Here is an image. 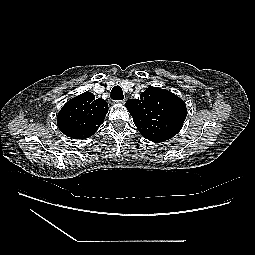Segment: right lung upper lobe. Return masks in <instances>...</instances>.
Returning a JSON list of instances; mask_svg holds the SVG:
<instances>
[{
  "instance_id": "right-lung-upper-lobe-1",
  "label": "right lung upper lobe",
  "mask_w": 255,
  "mask_h": 255,
  "mask_svg": "<svg viewBox=\"0 0 255 255\" xmlns=\"http://www.w3.org/2000/svg\"><path fill=\"white\" fill-rule=\"evenodd\" d=\"M108 109V103L104 99H95L91 92H85L72 98L61 108L57 126L68 137L86 139L104 122Z\"/></svg>"
}]
</instances>
